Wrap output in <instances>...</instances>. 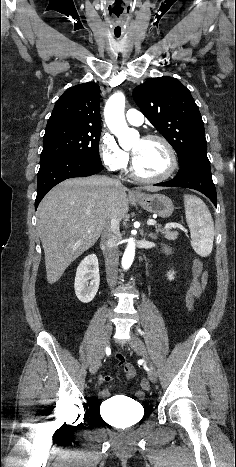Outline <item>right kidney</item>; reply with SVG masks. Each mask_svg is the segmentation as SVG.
Instances as JSON below:
<instances>
[{
  "label": "right kidney",
  "mask_w": 236,
  "mask_h": 467,
  "mask_svg": "<svg viewBox=\"0 0 236 467\" xmlns=\"http://www.w3.org/2000/svg\"><path fill=\"white\" fill-rule=\"evenodd\" d=\"M100 283L99 264L95 254L86 256L79 264L75 277V293L83 303H89L95 297Z\"/></svg>",
  "instance_id": "right-kidney-1"
}]
</instances>
